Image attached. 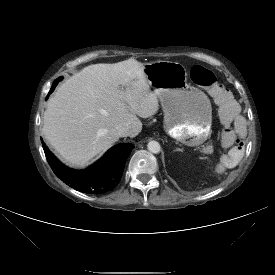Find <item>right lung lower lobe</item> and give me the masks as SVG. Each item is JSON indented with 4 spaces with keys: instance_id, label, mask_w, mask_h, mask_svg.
<instances>
[{
    "instance_id": "right-lung-lower-lobe-1",
    "label": "right lung lower lobe",
    "mask_w": 275,
    "mask_h": 275,
    "mask_svg": "<svg viewBox=\"0 0 275 275\" xmlns=\"http://www.w3.org/2000/svg\"><path fill=\"white\" fill-rule=\"evenodd\" d=\"M42 145L55 175L75 190L87 194H102L112 190L120 181L125 162L134 148L131 144L116 145L91 167L75 171L61 164L43 141Z\"/></svg>"
}]
</instances>
